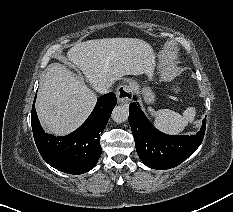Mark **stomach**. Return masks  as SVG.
<instances>
[{
  "instance_id": "0dacf381",
  "label": "stomach",
  "mask_w": 233,
  "mask_h": 212,
  "mask_svg": "<svg viewBox=\"0 0 233 212\" xmlns=\"http://www.w3.org/2000/svg\"><path fill=\"white\" fill-rule=\"evenodd\" d=\"M143 96H144V100L147 103H152L154 101V93L152 92V90L150 88H144L143 89Z\"/></svg>"
}]
</instances>
